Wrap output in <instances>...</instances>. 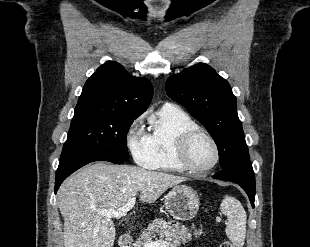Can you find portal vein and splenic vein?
<instances>
[{"instance_id": "portal-vein-and-splenic-vein-1", "label": "portal vein and splenic vein", "mask_w": 310, "mask_h": 247, "mask_svg": "<svg viewBox=\"0 0 310 247\" xmlns=\"http://www.w3.org/2000/svg\"><path fill=\"white\" fill-rule=\"evenodd\" d=\"M135 202L136 198L133 197L130 200H128V202L124 206L118 208L117 210H103L101 211V213L107 216L108 218L120 219L134 207ZM145 247H168V243L167 241L164 240H158V241L148 240L145 243Z\"/></svg>"}]
</instances>
